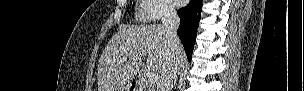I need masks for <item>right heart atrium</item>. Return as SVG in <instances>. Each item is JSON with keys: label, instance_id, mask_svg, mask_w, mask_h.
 Wrapping results in <instances>:
<instances>
[{"label": "right heart atrium", "instance_id": "1", "mask_svg": "<svg viewBox=\"0 0 304 91\" xmlns=\"http://www.w3.org/2000/svg\"><path fill=\"white\" fill-rule=\"evenodd\" d=\"M142 15L147 21H156L170 17L174 13L168 0H142Z\"/></svg>", "mask_w": 304, "mask_h": 91}]
</instances>
